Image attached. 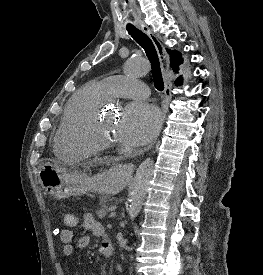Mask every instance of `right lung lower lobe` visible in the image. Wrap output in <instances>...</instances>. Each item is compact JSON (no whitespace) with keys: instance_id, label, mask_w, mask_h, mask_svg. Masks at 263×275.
Masks as SVG:
<instances>
[{"instance_id":"right-lung-lower-lobe-1","label":"right lung lower lobe","mask_w":263,"mask_h":275,"mask_svg":"<svg viewBox=\"0 0 263 275\" xmlns=\"http://www.w3.org/2000/svg\"><path fill=\"white\" fill-rule=\"evenodd\" d=\"M181 83H182V81H180V82H177V84H178V85H180Z\"/></svg>"}]
</instances>
